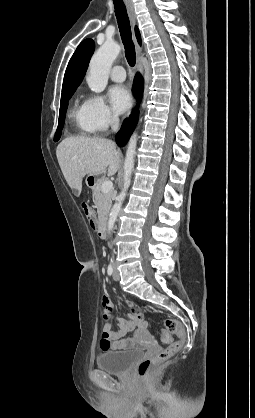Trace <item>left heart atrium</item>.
<instances>
[{
  "instance_id": "1",
  "label": "left heart atrium",
  "mask_w": 255,
  "mask_h": 418,
  "mask_svg": "<svg viewBox=\"0 0 255 418\" xmlns=\"http://www.w3.org/2000/svg\"><path fill=\"white\" fill-rule=\"evenodd\" d=\"M109 99L113 109L118 113L125 112L131 105L130 93L122 85H116L110 89Z\"/></svg>"
}]
</instances>
